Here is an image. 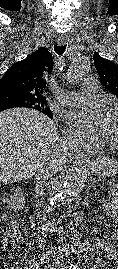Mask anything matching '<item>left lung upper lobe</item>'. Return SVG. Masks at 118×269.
Listing matches in <instances>:
<instances>
[{
	"instance_id": "left-lung-upper-lobe-1",
	"label": "left lung upper lobe",
	"mask_w": 118,
	"mask_h": 269,
	"mask_svg": "<svg viewBox=\"0 0 118 269\" xmlns=\"http://www.w3.org/2000/svg\"><path fill=\"white\" fill-rule=\"evenodd\" d=\"M93 59L101 83L118 97V65L100 57L97 53L93 55Z\"/></svg>"
}]
</instances>
